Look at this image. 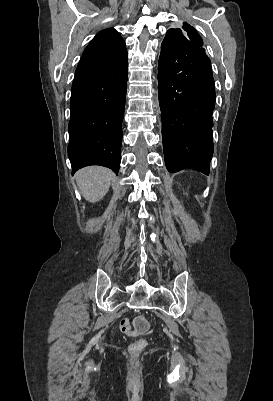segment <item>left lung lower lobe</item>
<instances>
[{"mask_svg": "<svg viewBox=\"0 0 273 401\" xmlns=\"http://www.w3.org/2000/svg\"><path fill=\"white\" fill-rule=\"evenodd\" d=\"M158 95L168 171L191 168L208 175L216 95L211 61L203 47L162 42Z\"/></svg>", "mask_w": 273, "mask_h": 401, "instance_id": "obj_1", "label": "left lung lower lobe"}]
</instances>
